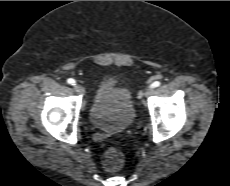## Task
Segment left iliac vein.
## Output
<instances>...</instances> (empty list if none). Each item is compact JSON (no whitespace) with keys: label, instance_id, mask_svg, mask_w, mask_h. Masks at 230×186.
I'll return each mask as SVG.
<instances>
[{"label":"left iliac vein","instance_id":"4c4485c4","mask_svg":"<svg viewBox=\"0 0 230 186\" xmlns=\"http://www.w3.org/2000/svg\"><path fill=\"white\" fill-rule=\"evenodd\" d=\"M152 92H153V88H149V89L146 90L145 93H141L140 96H143V95L148 96V95H150Z\"/></svg>","mask_w":230,"mask_h":186}]
</instances>
